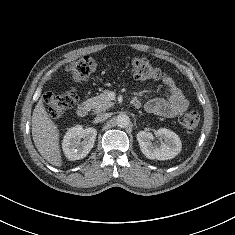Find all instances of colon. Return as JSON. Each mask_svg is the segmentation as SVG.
Segmentation results:
<instances>
[{"mask_svg": "<svg viewBox=\"0 0 235 235\" xmlns=\"http://www.w3.org/2000/svg\"><path fill=\"white\" fill-rule=\"evenodd\" d=\"M97 68L96 61L90 56H84L66 66V70L72 75L75 81L86 80ZM129 70L135 80H156L170 83V79L160 69L155 68L146 58L135 57L131 60ZM79 96L75 89L65 93H47L44 101L47 105L49 115L60 118L75 104L78 103ZM199 114L196 111L185 113L180 117V124L188 134H193L199 124Z\"/></svg>", "mask_w": 235, "mask_h": 235, "instance_id": "colon-1", "label": "colon"}]
</instances>
